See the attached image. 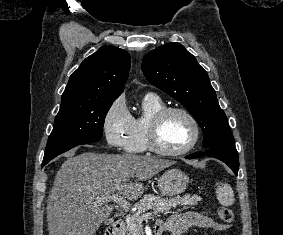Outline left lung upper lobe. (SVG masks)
<instances>
[{"label": "left lung upper lobe", "instance_id": "left-lung-upper-lobe-1", "mask_svg": "<svg viewBox=\"0 0 283 235\" xmlns=\"http://www.w3.org/2000/svg\"><path fill=\"white\" fill-rule=\"evenodd\" d=\"M142 71L193 115L204 133L205 148L235 147L224 111L220 108L207 72L179 43L162 45L143 58Z\"/></svg>", "mask_w": 283, "mask_h": 235}]
</instances>
